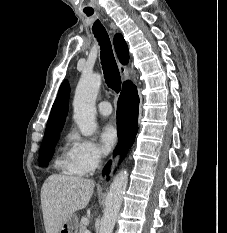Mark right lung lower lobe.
Returning a JSON list of instances; mask_svg holds the SVG:
<instances>
[{"label":"right lung lower lobe","instance_id":"right-lung-lower-lobe-1","mask_svg":"<svg viewBox=\"0 0 227 233\" xmlns=\"http://www.w3.org/2000/svg\"><path fill=\"white\" fill-rule=\"evenodd\" d=\"M135 96L136 99H134ZM138 105L139 99L136 87L130 81L125 82L124 89L118 100L117 131L119 140L115 150V154L120 153L122 158L132 146L138 130ZM110 164L111 161L105 166L103 174L108 171Z\"/></svg>","mask_w":227,"mask_h":233}]
</instances>
